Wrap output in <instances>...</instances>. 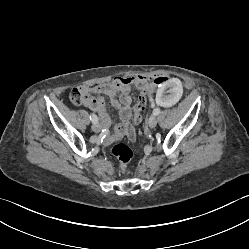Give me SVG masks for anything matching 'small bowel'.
Returning <instances> with one entry per match:
<instances>
[{"label": "small bowel", "mask_w": 249, "mask_h": 249, "mask_svg": "<svg viewBox=\"0 0 249 249\" xmlns=\"http://www.w3.org/2000/svg\"><path fill=\"white\" fill-rule=\"evenodd\" d=\"M166 79L167 77H165V80ZM152 80L157 84L161 79L157 75L153 77L142 75L129 77L117 76L107 83L96 86H81L78 88L85 96L83 104L99 116L103 128L107 129L109 127L110 119L107 114L104 99L101 97H94L93 94L107 96L111 105L119 110L120 122L116 126L113 134H107L105 136L106 141H114L124 134L131 140L135 138L133 127L130 125L132 87L138 88L141 95L147 97L152 93L155 87H159L158 85H154Z\"/></svg>", "instance_id": "1"}]
</instances>
